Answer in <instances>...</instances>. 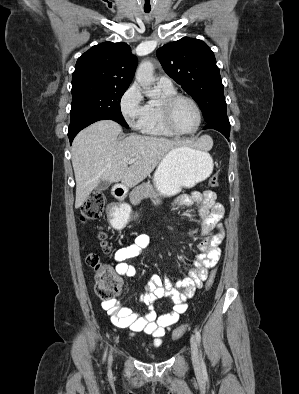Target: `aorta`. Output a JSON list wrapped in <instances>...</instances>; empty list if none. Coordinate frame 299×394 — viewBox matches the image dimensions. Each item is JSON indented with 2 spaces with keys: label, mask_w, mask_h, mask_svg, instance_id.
Wrapping results in <instances>:
<instances>
[{
  "label": "aorta",
  "mask_w": 299,
  "mask_h": 394,
  "mask_svg": "<svg viewBox=\"0 0 299 394\" xmlns=\"http://www.w3.org/2000/svg\"><path fill=\"white\" fill-rule=\"evenodd\" d=\"M154 66L149 61L142 62L136 71V80L142 87L143 93L150 98L155 97L157 94L152 89L154 83Z\"/></svg>",
  "instance_id": "obj_1"
}]
</instances>
